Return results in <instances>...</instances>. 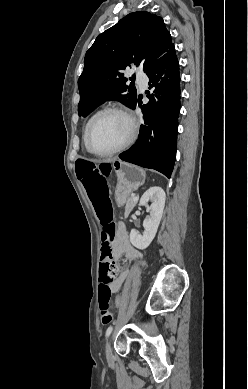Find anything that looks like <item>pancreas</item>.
<instances>
[{
	"instance_id": "obj_1",
	"label": "pancreas",
	"mask_w": 248,
	"mask_h": 389,
	"mask_svg": "<svg viewBox=\"0 0 248 389\" xmlns=\"http://www.w3.org/2000/svg\"><path fill=\"white\" fill-rule=\"evenodd\" d=\"M135 204H136V200H134L133 197H130L126 202L125 213L129 214L132 208L135 206Z\"/></svg>"
}]
</instances>
